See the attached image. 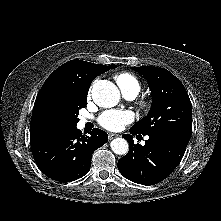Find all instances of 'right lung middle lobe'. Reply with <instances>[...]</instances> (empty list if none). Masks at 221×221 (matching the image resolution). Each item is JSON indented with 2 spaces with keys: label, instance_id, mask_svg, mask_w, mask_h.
I'll list each match as a JSON object with an SVG mask.
<instances>
[{
  "label": "right lung middle lobe",
  "instance_id": "1",
  "mask_svg": "<svg viewBox=\"0 0 221 221\" xmlns=\"http://www.w3.org/2000/svg\"><path fill=\"white\" fill-rule=\"evenodd\" d=\"M87 104V99H62L58 101L50 111V122L52 126L61 131L76 126L79 110Z\"/></svg>",
  "mask_w": 221,
  "mask_h": 221
}]
</instances>
